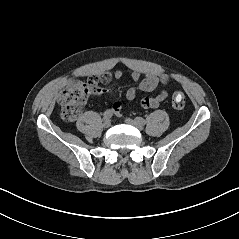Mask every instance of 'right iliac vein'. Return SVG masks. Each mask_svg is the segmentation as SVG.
Here are the masks:
<instances>
[{
	"label": "right iliac vein",
	"instance_id": "obj_1",
	"mask_svg": "<svg viewBox=\"0 0 239 239\" xmlns=\"http://www.w3.org/2000/svg\"><path fill=\"white\" fill-rule=\"evenodd\" d=\"M110 126H111V121L109 119H107L103 122V127L104 128H109Z\"/></svg>",
	"mask_w": 239,
	"mask_h": 239
}]
</instances>
